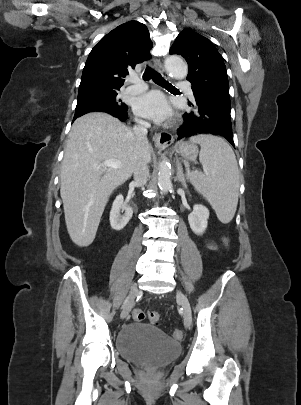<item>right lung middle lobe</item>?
Here are the masks:
<instances>
[{"label":"right lung middle lobe","mask_w":301,"mask_h":405,"mask_svg":"<svg viewBox=\"0 0 301 405\" xmlns=\"http://www.w3.org/2000/svg\"><path fill=\"white\" fill-rule=\"evenodd\" d=\"M119 89L93 88L78 92L75 116L93 111H126L127 105L117 98Z\"/></svg>","instance_id":"1"}]
</instances>
